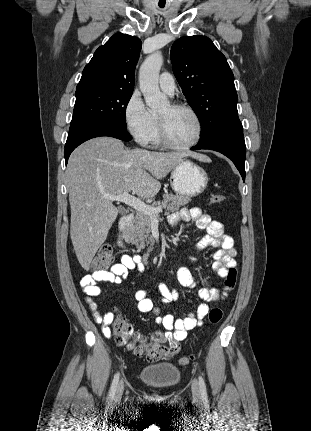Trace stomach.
<instances>
[{"label": "stomach", "mask_w": 311, "mask_h": 431, "mask_svg": "<svg viewBox=\"0 0 311 431\" xmlns=\"http://www.w3.org/2000/svg\"><path fill=\"white\" fill-rule=\"evenodd\" d=\"M170 186L177 196L196 198L207 188L208 176L200 166L184 160L179 166L173 168L169 178Z\"/></svg>", "instance_id": "stomach-1"}]
</instances>
